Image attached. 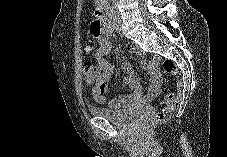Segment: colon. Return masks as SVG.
I'll list each match as a JSON object with an SVG mask.
<instances>
[{"instance_id": "colon-1", "label": "colon", "mask_w": 227, "mask_h": 157, "mask_svg": "<svg viewBox=\"0 0 227 157\" xmlns=\"http://www.w3.org/2000/svg\"><path fill=\"white\" fill-rule=\"evenodd\" d=\"M93 34L97 37L100 35V32H94ZM162 68L163 71L171 76H177L178 70L175 65V63L172 60L166 59L162 62ZM98 70L91 64V63H85L84 64V76L85 81L88 85H93L96 82V79L98 77ZM178 89L180 88V83L177 82ZM160 105L162 106V110L157 112L153 118V123H160L164 120L165 115L169 111H173L178 106V98L175 94L170 93L165 95L160 100Z\"/></svg>"}]
</instances>
